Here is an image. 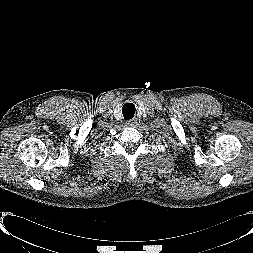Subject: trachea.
Returning <instances> with one entry per match:
<instances>
[{
	"instance_id": "3493384b",
	"label": "trachea",
	"mask_w": 253,
	"mask_h": 253,
	"mask_svg": "<svg viewBox=\"0 0 253 253\" xmlns=\"http://www.w3.org/2000/svg\"><path fill=\"white\" fill-rule=\"evenodd\" d=\"M122 113L126 120L133 118L135 113V106L133 104H125L122 108Z\"/></svg>"
}]
</instances>
